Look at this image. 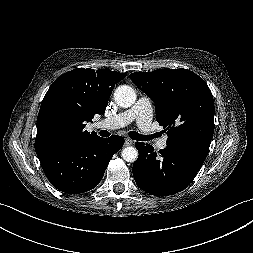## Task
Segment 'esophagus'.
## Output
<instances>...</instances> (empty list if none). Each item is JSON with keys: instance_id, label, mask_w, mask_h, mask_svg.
Listing matches in <instances>:
<instances>
[{"instance_id": "obj_1", "label": "esophagus", "mask_w": 253, "mask_h": 253, "mask_svg": "<svg viewBox=\"0 0 253 253\" xmlns=\"http://www.w3.org/2000/svg\"><path fill=\"white\" fill-rule=\"evenodd\" d=\"M133 144V140H131L130 138H125V146H130Z\"/></svg>"}]
</instances>
